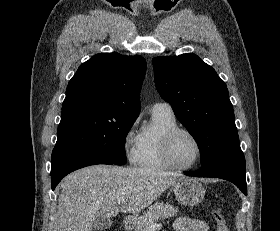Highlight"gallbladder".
<instances>
[{
  "label": "gallbladder",
  "instance_id": "bac80fb5",
  "mask_svg": "<svg viewBox=\"0 0 280 231\" xmlns=\"http://www.w3.org/2000/svg\"><path fill=\"white\" fill-rule=\"evenodd\" d=\"M111 225L112 219H110V217H103V215H99L93 223L94 229H108Z\"/></svg>",
  "mask_w": 280,
  "mask_h": 231
}]
</instances>
